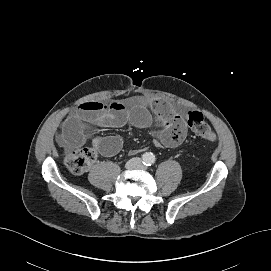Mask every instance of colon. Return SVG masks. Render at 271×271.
Returning a JSON list of instances; mask_svg holds the SVG:
<instances>
[{
	"label": "colon",
	"instance_id": "5ec220e1",
	"mask_svg": "<svg viewBox=\"0 0 271 271\" xmlns=\"http://www.w3.org/2000/svg\"><path fill=\"white\" fill-rule=\"evenodd\" d=\"M187 123L190 129L201 139L213 142L216 134L208 124L203 114L198 111H187ZM96 158V152L91 148H81L71 151L65 158V165L75 175L85 173Z\"/></svg>",
	"mask_w": 271,
	"mask_h": 271
}]
</instances>
